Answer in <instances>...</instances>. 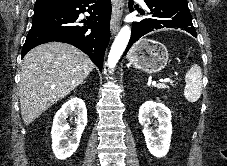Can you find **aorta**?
<instances>
[{
	"label": "aorta",
	"instance_id": "obj_1",
	"mask_svg": "<svg viewBox=\"0 0 227 166\" xmlns=\"http://www.w3.org/2000/svg\"><path fill=\"white\" fill-rule=\"evenodd\" d=\"M131 35L130 27L125 25L116 36L108 55L107 65L114 68L126 49Z\"/></svg>",
	"mask_w": 227,
	"mask_h": 166
}]
</instances>
